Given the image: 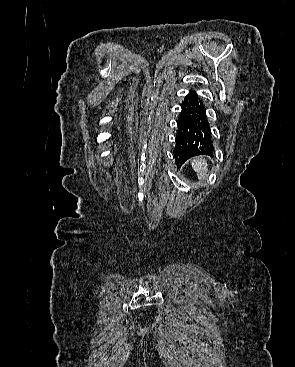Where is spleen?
<instances>
[{
    "instance_id": "1",
    "label": "spleen",
    "mask_w": 295,
    "mask_h": 367,
    "mask_svg": "<svg viewBox=\"0 0 295 367\" xmlns=\"http://www.w3.org/2000/svg\"><path fill=\"white\" fill-rule=\"evenodd\" d=\"M194 171L197 173L199 180L205 179L207 176V164L203 158H194L191 161Z\"/></svg>"
}]
</instances>
